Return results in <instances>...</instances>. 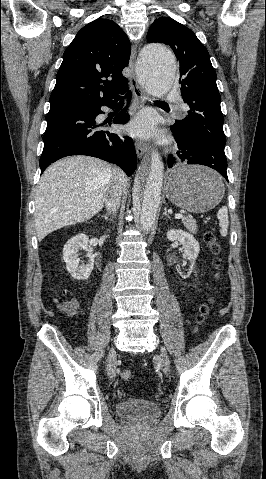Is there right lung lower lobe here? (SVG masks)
<instances>
[{"label":"right lung lower lobe","mask_w":266,"mask_h":479,"mask_svg":"<svg viewBox=\"0 0 266 479\" xmlns=\"http://www.w3.org/2000/svg\"><path fill=\"white\" fill-rule=\"evenodd\" d=\"M126 88L120 94L127 91ZM127 95L131 97V92ZM118 95L101 102L79 106L50 108L47 128L43 136L44 148L40 157L41 173L53 162L71 155H88L120 166L131 176L137 166V156L132 139L119 137L102 129L95 118L103 113L101 106L113 108ZM129 115L119 113L114 123L125 124Z\"/></svg>","instance_id":"98d812e1"}]
</instances>
